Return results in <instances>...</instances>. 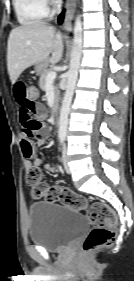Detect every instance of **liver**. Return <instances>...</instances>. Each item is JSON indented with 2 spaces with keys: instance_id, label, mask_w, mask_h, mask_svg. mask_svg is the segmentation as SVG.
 <instances>
[{
  "instance_id": "6515ba94",
  "label": "liver",
  "mask_w": 134,
  "mask_h": 281,
  "mask_svg": "<svg viewBox=\"0 0 134 281\" xmlns=\"http://www.w3.org/2000/svg\"><path fill=\"white\" fill-rule=\"evenodd\" d=\"M63 47L62 34L46 23L31 22L14 28L7 46V68L12 84L34 64L58 63Z\"/></svg>"
}]
</instances>
